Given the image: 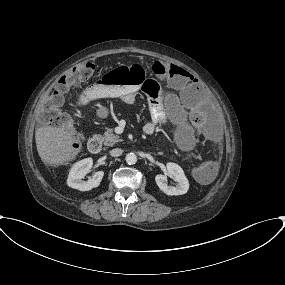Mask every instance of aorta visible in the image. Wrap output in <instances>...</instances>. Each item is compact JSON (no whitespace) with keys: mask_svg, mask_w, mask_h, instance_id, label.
Masks as SVG:
<instances>
[{"mask_svg":"<svg viewBox=\"0 0 285 285\" xmlns=\"http://www.w3.org/2000/svg\"><path fill=\"white\" fill-rule=\"evenodd\" d=\"M125 159L129 165H133L137 162V156L134 153H128Z\"/></svg>","mask_w":285,"mask_h":285,"instance_id":"obj_1","label":"aorta"}]
</instances>
